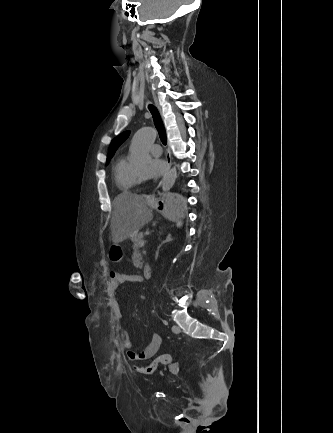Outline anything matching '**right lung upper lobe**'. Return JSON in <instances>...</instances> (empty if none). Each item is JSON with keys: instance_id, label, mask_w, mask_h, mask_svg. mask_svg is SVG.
Listing matches in <instances>:
<instances>
[{"instance_id": "cb5924a9", "label": "right lung upper lobe", "mask_w": 333, "mask_h": 433, "mask_svg": "<svg viewBox=\"0 0 333 433\" xmlns=\"http://www.w3.org/2000/svg\"><path fill=\"white\" fill-rule=\"evenodd\" d=\"M129 134H130V132L126 131V132H123L122 134H120L119 136H117L116 138L113 139V141L111 142L109 151H108V155H107V164L109 163L110 159L114 155L117 148L121 145V143H123L128 138Z\"/></svg>"}]
</instances>
